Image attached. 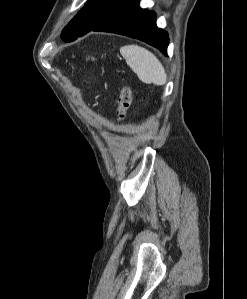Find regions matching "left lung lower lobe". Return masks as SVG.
I'll use <instances>...</instances> for the list:
<instances>
[{"instance_id":"0a47b994","label":"left lung lower lobe","mask_w":247,"mask_h":299,"mask_svg":"<svg viewBox=\"0 0 247 299\" xmlns=\"http://www.w3.org/2000/svg\"><path fill=\"white\" fill-rule=\"evenodd\" d=\"M90 31L111 32L144 41L167 55L168 34L156 25V13L139 7V0H127Z\"/></svg>"}]
</instances>
